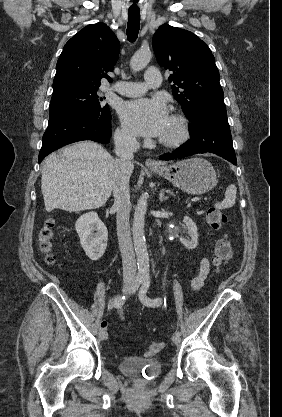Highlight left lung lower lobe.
Listing matches in <instances>:
<instances>
[{
  "label": "left lung lower lobe",
  "instance_id": "0a47b994",
  "mask_svg": "<svg viewBox=\"0 0 282 417\" xmlns=\"http://www.w3.org/2000/svg\"><path fill=\"white\" fill-rule=\"evenodd\" d=\"M190 121L191 139L176 151L159 156L161 160L182 158L198 153H214L234 165L237 164L225 105H207L198 108Z\"/></svg>",
  "mask_w": 282,
  "mask_h": 417
}]
</instances>
